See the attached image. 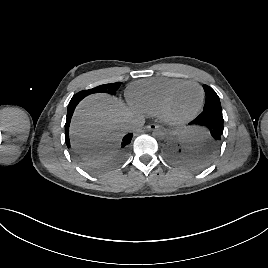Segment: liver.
<instances>
[{"label": "liver", "instance_id": "liver-1", "mask_svg": "<svg viewBox=\"0 0 268 268\" xmlns=\"http://www.w3.org/2000/svg\"><path fill=\"white\" fill-rule=\"evenodd\" d=\"M133 114L124 103L106 94H93L83 99L74 113L70 133L79 149L106 147L118 142L128 131Z\"/></svg>", "mask_w": 268, "mask_h": 268}]
</instances>
